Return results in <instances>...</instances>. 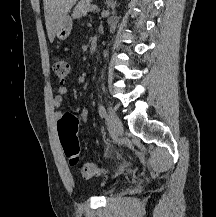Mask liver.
<instances>
[{
  "label": "liver",
  "mask_w": 216,
  "mask_h": 217,
  "mask_svg": "<svg viewBox=\"0 0 216 217\" xmlns=\"http://www.w3.org/2000/svg\"><path fill=\"white\" fill-rule=\"evenodd\" d=\"M77 0H43L46 29L52 42L55 33Z\"/></svg>",
  "instance_id": "liver-1"
}]
</instances>
